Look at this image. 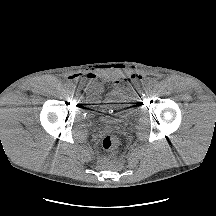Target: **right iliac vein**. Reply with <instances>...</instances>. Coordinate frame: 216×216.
<instances>
[{"label":"right iliac vein","instance_id":"right-iliac-vein-1","mask_svg":"<svg viewBox=\"0 0 216 216\" xmlns=\"http://www.w3.org/2000/svg\"><path fill=\"white\" fill-rule=\"evenodd\" d=\"M71 93H72V94H76V93H77V90H76V89H73V90L71 91Z\"/></svg>","mask_w":216,"mask_h":216}]
</instances>
